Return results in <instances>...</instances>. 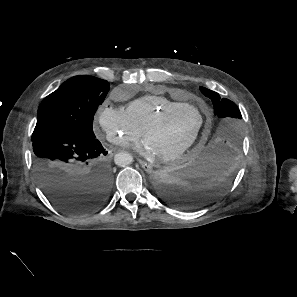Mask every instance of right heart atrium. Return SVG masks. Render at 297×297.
<instances>
[{"mask_svg":"<svg viewBox=\"0 0 297 297\" xmlns=\"http://www.w3.org/2000/svg\"><path fill=\"white\" fill-rule=\"evenodd\" d=\"M96 123L104 137L120 147H128L137 141L142 132L131 121L125 110L106 103L98 109Z\"/></svg>","mask_w":297,"mask_h":297,"instance_id":"d8ad5b80","label":"right heart atrium"}]
</instances>
